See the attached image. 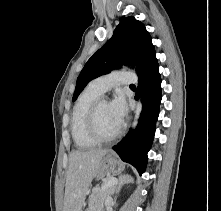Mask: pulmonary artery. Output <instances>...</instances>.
<instances>
[{
	"label": "pulmonary artery",
	"mask_w": 221,
	"mask_h": 211,
	"mask_svg": "<svg viewBox=\"0 0 221 211\" xmlns=\"http://www.w3.org/2000/svg\"><path fill=\"white\" fill-rule=\"evenodd\" d=\"M136 82V76L129 71H112L108 74L94 79L90 85L100 93H105L109 89L122 85L133 84Z\"/></svg>",
	"instance_id": "e3ab8cb5"
}]
</instances>
